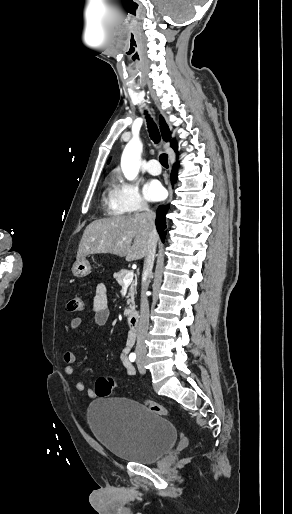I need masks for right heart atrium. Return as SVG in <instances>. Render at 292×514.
Returning a JSON list of instances; mask_svg holds the SVG:
<instances>
[{
	"mask_svg": "<svg viewBox=\"0 0 292 514\" xmlns=\"http://www.w3.org/2000/svg\"><path fill=\"white\" fill-rule=\"evenodd\" d=\"M112 190L116 203L123 211L125 209H147V203L141 193L138 181L118 178Z\"/></svg>",
	"mask_w": 292,
	"mask_h": 514,
	"instance_id": "right-heart-atrium-1",
	"label": "right heart atrium"
}]
</instances>
